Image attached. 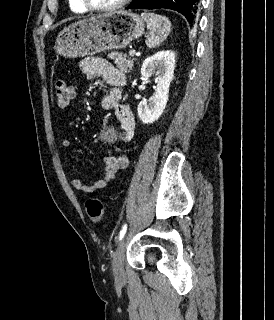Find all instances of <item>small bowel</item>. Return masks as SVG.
Returning <instances> with one entry per match:
<instances>
[{
	"label": "small bowel",
	"mask_w": 274,
	"mask_h": 320,
	"mask_svg": "<svg viewBox=\"0 0 274 320\" xmlns=\"http://www.w3.org/2000/svg\"><path fill=\"white\" fill-rule=\"evenodd\" d=\"M81 70L87 79L93 80L102 77L112 86V90L102 99L101 105L105 110L115 111L121 125L120 141L122 143L129 142L134 135L135 120L130 108L121 103L125 75L103 57H88L83 59ZM60 146L62 149H68L70 146L69 140H61ZM103 161L105 165L104 172L99 179L86 184L78 178H71V187L85 194L97 192L112 182L118 171L126 169L129 166V159L125 155H106Z\"/></svg>",
	"instance_id": "1"
}]
</instances>
